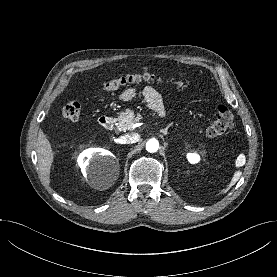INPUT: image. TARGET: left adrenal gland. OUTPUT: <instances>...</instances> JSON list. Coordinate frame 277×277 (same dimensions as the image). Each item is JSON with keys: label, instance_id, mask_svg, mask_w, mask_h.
<instances>
[{"label": "left adrenal gland", "instance_id": "left-adrenal-gland-1", "mask_svg": "<svg viewBox=\"0 0 277 277\" xmlns=\"http://www.w3.org/2000/svg\"><path fill=\"white\" fill-rule=\"evenodd\" d=\"M171 126V124L167 125V127L165 129H162L161 132L164 134V135H167L168 134V129L169 127Z\"/></svg>", "mask_w": 277, "mask_h": 277}]
</instances>
